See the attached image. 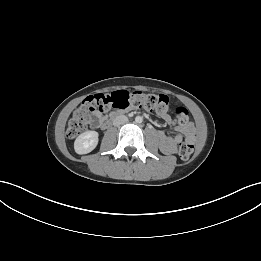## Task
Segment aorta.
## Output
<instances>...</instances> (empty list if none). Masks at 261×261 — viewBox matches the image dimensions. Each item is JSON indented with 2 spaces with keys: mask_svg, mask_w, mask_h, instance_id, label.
Here are the masks:
<instances>
[{
  "mask_svg": "<svg viewBox=\"0 0 261 261\" xmlns=\"http://www.w3.org/2000/svg\"><path fill=\"white\" fill-rule=\"evenodd\" d=\"M142 121H143V117H141V116H136V118H135V122H136V123H142Z\"/></svg>",
  "mask_w": 261,
  "mask_h": 261,
  "instance_id": "aorta-1",
  "label": "aorta"
}]
</instances>
